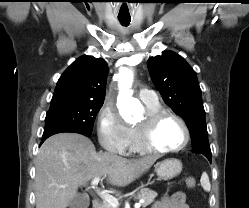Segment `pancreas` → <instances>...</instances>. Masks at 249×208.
I'll return each mask as SVG.
<instances>
[{
  "label": "pancreas",
  "instance_id": "1",
  "mask_svg": "<svg viewBox=\"0 0 249 208\" xmlns=\"http://www.w3.org/2000/svg\"><path fill=\"white\" fill-rule=\"evenodd\" d=\"M157 197V193L148 188L141 189L137 194L138 199H143V203L141 204L143 208L150 205L154 199ZM100 208H113L109 203L103 202Z\"/></svg>",
  "mask_w": 249,
  "mask_h": 208
}]
</instances>
